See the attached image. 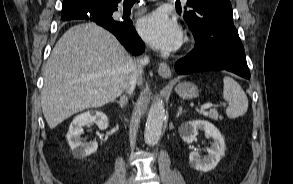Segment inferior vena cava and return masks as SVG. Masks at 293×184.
Wrapping results in <instances>:
<instances>
[{"instance_id": "602c4592", "label": "inferior vena cava", "mask_w": 293, "mask_h": 184, "mask_svg": "<svg viewBox=\"0 0 293 184\" xmlns=\"http://www.w3.org/2000/svg\"><path fill=\"white\" fill-rule=\"evenodd\" d=\"M149 63V57H139L134 60V70L133 75L130 79V82L126 88V92L131 95L135 89V86L138 82H140L142 74H143V67Z\"/></svg>"}]
</instances>
